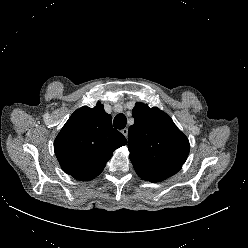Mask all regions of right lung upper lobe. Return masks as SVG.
Returning <instances> with one entry per match:
<instances>
[{
	"label": "right lung upper lobe",
	"instance_id": "1",
	"mask_svg": "<svg viewBox=\"0 0 248 248\" xmlns=\"http://www.w3.org/2000/svg\"><path fill=\"white\" fill-rule=\"evenodd\" d=\"M126 143L98 102L94 108L83 106L71 115L55 139L54 151L64 172L88 181L98 176L113 151Z\"/></svg>",
	"mask_w": 248,
	"mask_h": 248
}]
</instances>
